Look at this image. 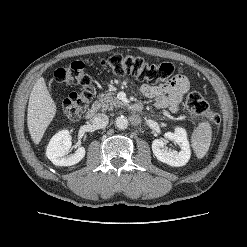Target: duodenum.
I'll return each mask as SVG.
<instances>
[{
	"label": "duodenum",
	"instance_id": "obj_1",
	"mask_svg": "<svg viewBox=\"0 0 247 247\" xmlns=\"http://www.w3.org/2000/svg\"><path fill=\"white\" fill-rule=\"evenodd\" d=\"M130 109H131L132 111H134V112H141V111L143 110V105H142V103H139V102L133 103V104L130 106ZM98 110H99V107H98L97 104L92 105V106L87 110V112H86V117H87V118H92V117H94V116L97 114Z\"/></svg>",
	"mask_w": 247,
	"mask_h": 247
}]
</instances>
